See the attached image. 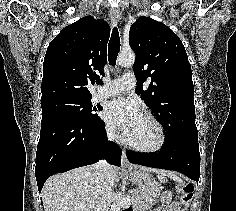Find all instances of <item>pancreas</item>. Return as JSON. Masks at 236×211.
<instances>
[{
    "label": "pancreas",
    "mask_w": 236,
    "mask_h": 211,
    "mask_svg": "<svg viewBox=\"0 0 236 211\" xmlns=\"http://www.w3.org/2000/svg\"><path fill=\"white\" fill-rule=\"evenodd\" d=\"M133 200V207L135 211H146L149 206L144 202L142 194L139 191H135L132 194Z\"/></svg>",
    "instance_id": "1"
}]
</instances>
